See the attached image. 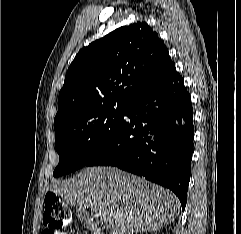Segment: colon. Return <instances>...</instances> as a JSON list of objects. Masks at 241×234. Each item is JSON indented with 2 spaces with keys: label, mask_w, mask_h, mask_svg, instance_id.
Instances as JSON below:
<instances>
[{
  "label": "colon",
  "mask_w": 241,
  "mask_h": 234,
  "mask_svg": "<svg viewBox=\"0 0 241 234\" xmlns=\"http://www.w3.org/2000/svg\"><path fill=\"white\" fill-rule=\"evenodd\" d=\"M71 220V212L67 205L55 194L48 193L45 197L43 224L46 230H55L67 225ZM43 234V233H42Z\"/></svg>",
  "instance_id": "colon-1"
}]
</instances>
